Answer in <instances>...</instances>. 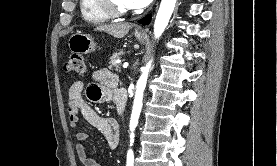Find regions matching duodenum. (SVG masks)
<instances>
[{"mask_svg":"<svg viewBox=\"0 0 277 166\" xmlns=\"http://www.w3.org/2000/svg\"><path fill=\"white\" fill-rule=\"evenodd\" d=\"M127 96L124 91H119L116 95V104L120 114H123L126 106Z\"/></svg>","mask_w":277,"mask_h":166,"instance_id":"410a0bca","label":"duodenum"}]
</instances>
